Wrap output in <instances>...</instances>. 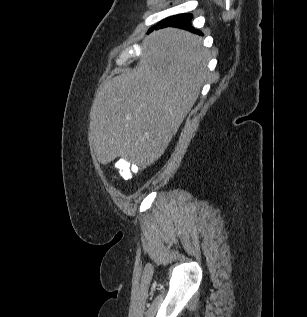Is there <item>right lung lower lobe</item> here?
Instances as JSON below:
<instances>
[{"label": "right lung lower lobe", "instance_id": "obj_1", "mask_svg": "<svg viewBox=\"0 0 307 317\" xmlns=\"http://www.w3.org/2000/svg\"><path fill=\"white\" fill-rule=\"evenodd\" d=\"M191 19H192V14H189V13H183V14L170 16L160 21L156 26L152 27L148 32H151L154 29H160V28L171 26V27L182 28L194 33L201 34L199 30H196L195 28H193V26L191 25Z\"/></svg>", "mask_w": 307, "mask_h": 317}]
</instances>
